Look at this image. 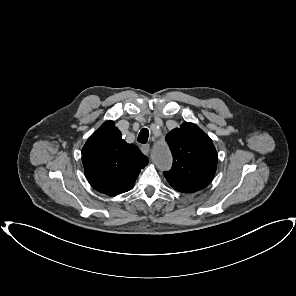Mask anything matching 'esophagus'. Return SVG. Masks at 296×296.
Returning <instances> with one entry per match:
<instances>
[{
  "instance_id": "34e87169",
  "label": "esophagus",
  "mask_w": 296,
  "mask_h": 296,
  "mask_svg": "<svg viewBox=\"0 0 296 296\" xmlns=\"http://www.w3.org/2000/svg\"><path fill=\"white\" fill-rule=\"evenodd\" d=\"M140 150L143 154L147 155L150 151V145L149 144L141 145Z\"/></svg>"
}]
</instances>
